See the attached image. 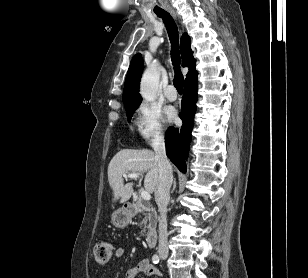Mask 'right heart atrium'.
<instances>
[{
	"label": "right heart atrium",
	"mask_w": 308,
	"mask_h": 278,
	"mask_svg": "<svg viewBox=\"0 0 308 278\" xmlns=\"http://www.w3.org/2000/svg\"><path fill=\"white\" fill-rule=\"evenodd\" d=\"M164 122V117L157 107L149 103L138 106L134 124L143 141L150 142L161 138L164 134Z\"/></svg>",
	"instance_id": "right-heart-atrium-1"
}]
</instances>
